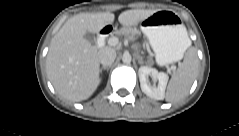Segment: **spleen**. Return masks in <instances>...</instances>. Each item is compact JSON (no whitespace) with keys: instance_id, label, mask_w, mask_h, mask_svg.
Returning a JSON list of instances; mask_svg holds the SVG:
<instances>
[{"instance_id":"3e777b00","label":"spleen","mask_w":239,"mask_h":136,"mask_svg":"<svg viewBox=\"0 0 239 136\" xmlns=\"http://www.w3.org/2000/svg\"><path fill=\"white\" fill-rule=\"evenodd\" d=\"M188 45L191 40L187 38ZM198 69V58L194 51H190L182 65L173 74L167 87L166 101L177 102L183 99L189 92L193 81L196 78Z\"/></svg>"}]
</instances>
